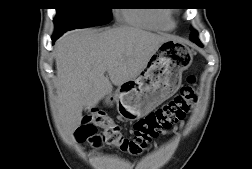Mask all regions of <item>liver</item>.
<instances>
[{
  "label": "liver",
  "mask_w": 252,
  "mask_h": 169,
  "mask_svg": "<svg viewBox=\"0 0 252 169\" xmlns=\"http://www.w3.org/2000/svg\"><path fill=\"white\" fill-rule=\"evenodd\" d=\"M169 39L173 37L168 34L125 26L65 33L55 44V86L62 131L73 134L81 124L83 109L95 107L110 95L112 85L135 78L159 45Z\"/></svg>",
  "instance_id": "liver-1"
}]
</instances>
